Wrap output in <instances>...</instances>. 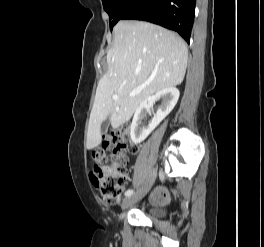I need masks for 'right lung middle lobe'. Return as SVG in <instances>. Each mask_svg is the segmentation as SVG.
Returning <instances> with one entry per match:
<instances>
[{
  "instance_id": "dd1d6c3e",
  "label": "right lung middle lobe",
  "mask_w": 264,
  "mask_h": 247,
  "mask_svg": "<svg viewBox=\"0 0 264 247\" xmlns=\"http://www.w3.org/2000/svg\"><path fill=\"white\" fill-rule=\"evenodd\" d=\"M133 0H102L104 10L110 19V29L121 20V17Z\"/></svg>"
}]
</instances>
